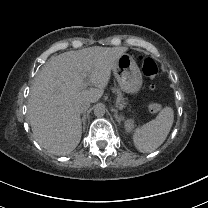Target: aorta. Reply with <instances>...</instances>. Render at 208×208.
<instances>
[{"label":"aorta","mask_w":208,"mask_h":208,"mask_svg":"<svg viewBox=\"0 0 208 208\" xmlns=\"http://www.w3.org/2000/svg\"><path fill=\"white\" fill-rule=\"evenodd\" d=\"M105 106L104 105H102V104H98V105H96L95 107H94V115L96 116V117H103L104 116V114H105Z\"/></svg>","instance_id":"762f6f07"}]
</instances>
